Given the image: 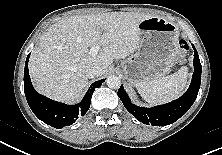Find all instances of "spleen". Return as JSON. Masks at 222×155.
<instances>
[{
  "mask_svg": "<svg viewBox=\"0 0 222 155\" xmlns=\"http://www.w3.org/2000/svg\"><path fill=\"white\" fill-rule=\"evenodd\" d=\"M188 77L187 67H181L177 72L159 79L136 84L141 97L152 105L170 102L180 97L186 87Z\"/></svg>",
  "mask_w": 222,
  "mask_h": 155,
  "instance_id": "1",
  "label": "spleen"
}]
</instances>
